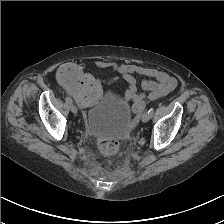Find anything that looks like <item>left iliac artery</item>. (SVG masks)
<instances>
[{
    "mask_svg": "<svg viewBox=\"0 0 224 224\" xmlns=\"http://www.w3.org/2000/svg\"><path fill=\"white\" fill-rule=\"evenodd\" d=\"M149 113H150V115H151V117H152V115H153V113H154V108L153 107H151L150 109H149V111H148Z\"/></svg>",
    "mask_w": 224,
    "mask_h": 224,
    "instance_id": "44dca946",
    "label": "left iliac artery"
}]
</instances>
